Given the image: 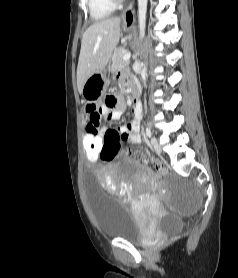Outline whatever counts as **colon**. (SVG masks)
I'll use <instances>...</instances> for the list:
<instances>
[{"label":"colon","mask_w":238,"mask_h":278,"mask_svg":"<svg viewBox=\"0 0 238 278\" xmlns=\"http://www.w3.org/2000/svg\"><path fill=\"white\" fill-rule=\"evenodd\" d=\"M106 100H116L115 96L109 95ZM90 108L94 107V104L89 105ZM105 137H83V149L86 162H99V159L106 161H113L121 154V145L112 141L109 144H104ZM156 171L161 174H166V167L160 160L154 162Z\"/></svg>","instance_id":"1"}]
</instances>
